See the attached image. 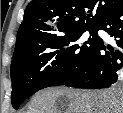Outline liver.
I'll return each instance as SVG.
<instances>
[{"label": "liver", "instance_id": "liver-1", "mask_svg": "<svg viewBox=\"0 0 123 113\" xmlns=\"http://www.w3.org/2000/svg\"><path fill=\"white\" fill-rule=\"evenodd\" d=\"M26 113H123V90L50 87L34 95Z\"/></svg>", "mask_w": 123, "mask_h": 113}]
</instances>
